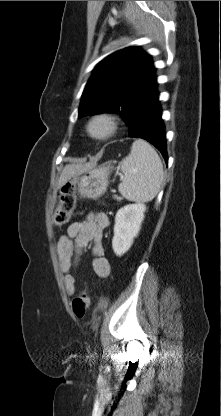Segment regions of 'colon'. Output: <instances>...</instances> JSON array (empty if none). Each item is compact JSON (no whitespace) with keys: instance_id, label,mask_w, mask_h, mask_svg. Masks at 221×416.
I'll return each mask as SVG.
<instances>
[{"instance_id":"colon-1","label":"colon","mask_w":221,"mask_h":416,"mask_svg":"<svg viewBox=\"0 0 221 416\" xmlns=\"http://www.w3.org/2000/svg\"><path fill=\"white\" fill-rule=\"evenodd\" d=\"M75 208V184L66 183L62 188L60 205L53 215V224L62 226L67 224ZM90 299L86 290H82L72 301V309L76 317L82 319L85 317Z\"/></svg>"}]
</instances>
